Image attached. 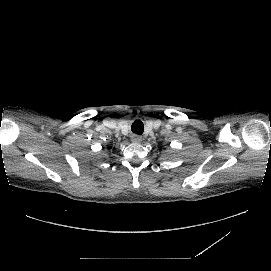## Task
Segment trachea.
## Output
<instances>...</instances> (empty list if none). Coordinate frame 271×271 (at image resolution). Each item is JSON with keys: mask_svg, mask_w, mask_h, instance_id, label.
<instances>
[{"mask_svg": "<svg viewBox=\"0 0 271 271\" xmlns=\"http://www.w3.org/2000/svg\"><path fill=\"white\" fill-rule=\"evenodd\" d=\"M132 124H133L132 125V129L136 133V135L143 133V131H144V125H143L141 119H138V118L134 119Z\"/></svg>", "mask_w": 271, "mask_h": 271, "instance_id": "obj_1", "label": "trachea"}]
</instances>
